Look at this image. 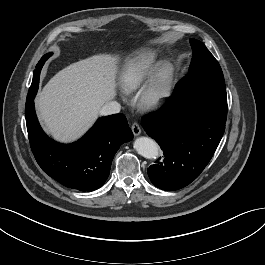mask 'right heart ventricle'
<instances>
[{"label": "right heart ventricle", "instance_id": "right-heart-ventricle-1", "mask_svg": "<svg viewBox=\"0 0 265 265\" xmlns=\"http://www.w3.org/2000/svg\"><path fill=\"white\" fill-rule=\"evenodd\" d=\"M157 61V54L150 49H141L132 54L119 75L120 90L124 94L135 92L147 79Z\"/></svg>", "mask_w": 265, "mask_h": 265}]
</instances>
